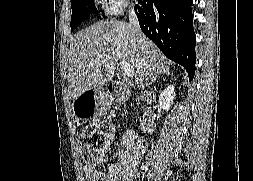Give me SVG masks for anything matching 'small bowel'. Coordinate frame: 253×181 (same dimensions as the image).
<instances>
[{
  "label": "small bowel",
  "mask_w": 253,
  "mask_h": 181,
  "mask_svg": "<svg viewBox=\"0 0 253 181\" xmlns=\"http://www.w3.org/2000/svg\"><path fill=\"white\" fill-rule=\"evenodd\" d=\"M122 150L115 153L116 164L100 172L92 167L84 169L88 181H133L138 176V166L143 159L146 143L135 132L127 130L121 133Z\"/></svg>",
  "instance_id": "c3829d8e"
}]
</instances>
